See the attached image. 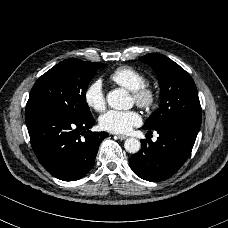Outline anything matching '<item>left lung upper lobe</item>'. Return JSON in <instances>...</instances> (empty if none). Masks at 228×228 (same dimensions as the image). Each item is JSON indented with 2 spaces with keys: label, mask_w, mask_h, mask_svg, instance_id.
Returning <instances> with one entry per match:
<instances>
[{
  "label": "left lung upper lobe",
  "mask_w": 228,
  "mask_h": 228,
  "mask_svg": "<svg viewBox=\"0 0 228 228\" xmlns=\"http://www.w3.org/2000/svg\"><path fill=\"white\" fill-rule=\"evenodd\" d=\"M139 59L153 68L161 89L159 108L146 120L143 128L155 130L172 122L200 127L201 106L192 77L164 55L151 53Z\"/></svg>",
  "instance_id": "5c2ea615"
}]
</instances>
